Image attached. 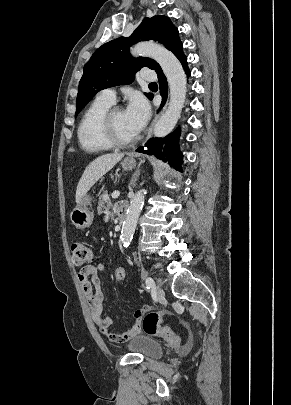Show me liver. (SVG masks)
<instances>
[{
    "label": "liver",
    "instance_id": "obj_1",
    "mask_svg": "<svg viewBox=\"0 0 291 405\" xmlns=\"http://www.w3.org/2000/svg\"><path fill=\"white\" fill-rule=\"evenodd\" d=\"M124 154H105L93 160L85 169L76 190V203L86 195L90 188L123 158Z\"/></svg>",
    "mask_w": 291,
    "mask_h": 405
}]
</instances>
